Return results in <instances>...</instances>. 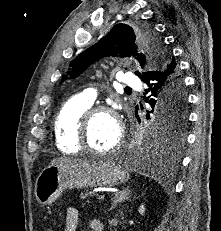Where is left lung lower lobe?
Returning <instances> with one entry per match:
<instances>
[{
	"mask_svg": "<svg viewBox=\"0 0 221 231\" xmlns=\"http://www.w3.org/2000/svg\"><path fill=\"white\" fill-rule=\"evenodd\" d=\"M140 78L148 85L144 93V95H148L144 97L145 102L150 106L156 104V109L164 113L175 106L177 98L181 94H179V90L183 88L184 92V82L174 57H169L163 66L146 72ZM148 142L135 153L137 160L156 157L161 150L166 148L176 150L181 144V142H168L154 135H151Z\"/></svg>",
	"mask_w": 221,
	"mask_h": 231,
	"instance_id": "obj_1",
	"label": "left lung lower lobe"
}]
</instances>
